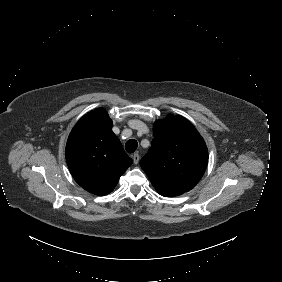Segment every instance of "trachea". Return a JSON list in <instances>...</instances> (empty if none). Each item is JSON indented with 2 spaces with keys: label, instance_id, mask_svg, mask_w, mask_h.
<instances>
[{
  "label": "trachea",
  "instance_id": "obj_1",
  "mask_svg": "<svg viewBox=\"0 0 282 282\" xmlns=\"http://www.w3.org/2000/svg\"><path fill=\"white\" fill-rule=\"evenodd\" d=\"M138 147V143L135 139H130L125 144V149L128 153H133Z\"/></svg>",
  "mask_w": 282,
  "mask_h": 282
}]
</instances>
